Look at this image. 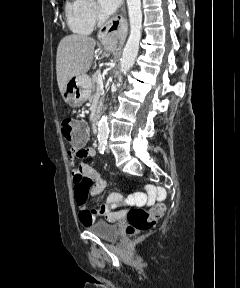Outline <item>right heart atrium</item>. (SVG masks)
I'll list each match as a JSON object with an SVG mask.
<instances>
[{
  "mask_svg": "<svg viewBox=\"0 0 240 288\" xmlns=\"http://www.w3.org/2000/svg\"><path fill=\"white\" fill-rule=\"evenodd\" d=\"M85 1H86V12L89 18L93 22L99 21L101 18V15H100L97 5L92 0H85Z\"/></svg>",
  "mask_w": 240,
  "mask_h": 288,
  "instance_id": "1",
  "label": "right heart atrium"
}]
</instances>
